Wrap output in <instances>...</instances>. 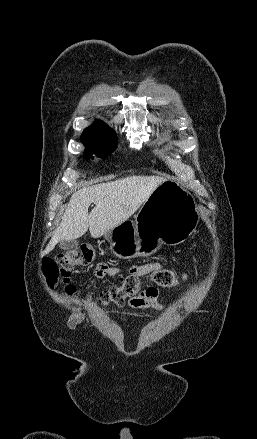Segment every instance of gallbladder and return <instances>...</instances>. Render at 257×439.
<instances>
[{
  "label": "gallbladder",
  "mask_w": 257,
  "mask_h": 439,
  "mask_svg": "<svg viewBox=\"0 0 257 439\" xmlns=\"http://www.w3.org/2000/svg\"><path fill=\"white\" fill-rule=\"evenodd\" d=\"M79 245V242L76 240H62L59 243V248L63 250H72L76 249Z\"/></svg>",
  "instance_id": "1"
}]
</instances>
